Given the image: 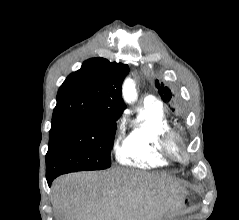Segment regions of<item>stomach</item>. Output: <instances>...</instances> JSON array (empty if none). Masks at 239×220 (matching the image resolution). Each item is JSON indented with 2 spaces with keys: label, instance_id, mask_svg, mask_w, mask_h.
Instances as JSON below:
<instances>
[{
  "label": "stomach",
  "instance_id": "0dacf381",
  "mask_svg": "<svg viewBox=\"0 0 239 220\" xmlns=\"http://www.w3.org/2000/svg\"><path fill=\"white\" fill-rule=\"evenodd\" d=\"M189 204H190L189 198H188L187 196H184V197H183V200H182V206H183V207H188Z\"/></svg>",
  "mask_w": 239,
  "mask_h": 220
}]
</instances>
